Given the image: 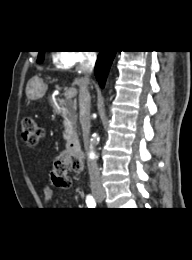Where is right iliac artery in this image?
Segmentation results:
<instances>
[{"mask_svg": "<svg viewBox=\"0 0 192 260\" xmlns=\"http://www.w3.org/2000/svg\"><path fill=\"white\" fill-rule=\"evenodd\" d=\"M86 203L89 208H94L96 206V201L91 195L86 197Z\"/></svg>", "mask_w": 192, "mask_h": 260, "instance_id": "obj_1", "label": "right iliac artery"}]
</instances>
